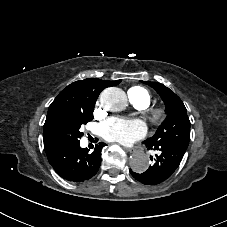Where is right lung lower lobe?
<instances>
[{
    "label": "right lung lower lobe",
    "mask_w": 227,
    "mask_h": 227,
    "mask_svg": "<svg viewBox=\"0 0 227 227\" xmlns=\"http://www.w3.org/2000/svg\"><path fill=\"white\" fill-rule=\"evenodd\" d=\"M106 144L100 142L93 152L80 147L79 142L62 147L47 154L55 172L62 178L81 182L94 176L101 164V149Z\"/></svg>",
    "instance_id": "1"
}]
</instances>
